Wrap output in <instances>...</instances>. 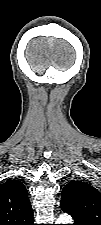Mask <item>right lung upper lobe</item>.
Wrapping results in <instances>:
<instances>
[{
  "mask_svg": "<svg viewBox=\"0 0 101 225\" xmlns=\"http://www.w3.org/2000/svg\"><path fill=\"white\" fill-rule=\"evenodd\" d=\"M0 225H34L28 191L18 180L0 185Z\"/></svg>",
  "mask_w": 101,
  "mask_h": 225,
  "instance_id": "right-lung-upper-lobe-1",
  "label": "right lung upper lobe"
}]
</instances>
